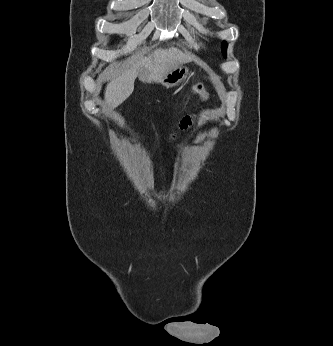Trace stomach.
Listing matches in <instances>:
<instances>
[{
    "label": "stomach",
    "instance_id": "1",
    "mask_svg": "<svg viewBox=\"0 0 333 346\" xmlns=\"http://www.w3.org/2000/svg\"><path fill=\"white\" fill-rule=\"evenodd\" d=\"M188 74L189 69L182 64L168 72L161 79L160 83L166 88H171L182 83L187 78Z\"/></svg>",
    "mask_w": 333,
    "mask_h": 346
}]
</instances>
